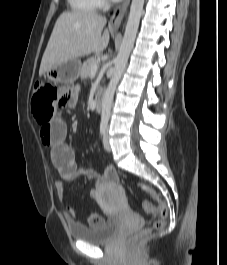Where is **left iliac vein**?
Returning <instances> with one entry per match:
<instances>
[{
    "instance_id": "left-iliac-vein-1",
    "label": "left iliac vein",
    "mask_w": 227,
    "mask_h": 265,
    "mask_svg": "<svg viewBox=\"0 0 227 265\" xmlns=\"http://www.w3.org/2000/svg\"><path fill=\"white\" fill-rule=\"evenodd\" d=\"M109 128L107 127L106 129V132L104 134V137H103V144H104V148L107 150V151H111V146H110V143H109Z\"/></svg>"
}]
</instances>
